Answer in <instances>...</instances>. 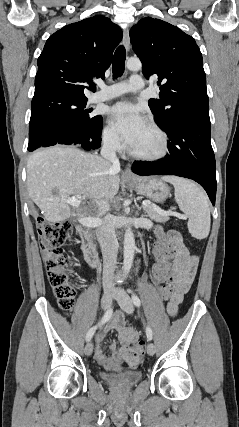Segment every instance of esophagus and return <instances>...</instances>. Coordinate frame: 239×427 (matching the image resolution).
<instances>
[{
    "instance_id": "esophagus-1",
    "label": "esophagus",
    "mask_w": 239,
    "mask_h": 427,
    "mask_svg": "<svg viewBox=\"0 0 239 427\" xmlns=\"http://www.w3.org/2000/svg\"><path fill=\"white\" fill-rule=\"evenodd\" d=\"M123 42H124V46H125L126 50L129 51V49H130V36H129V29L128 28L123 30ZM122 176H123V178L128 179V180L135 179L134 175L132 174L131 170L128 167L125 168Z\"/></svg>"
}]
</instances>
